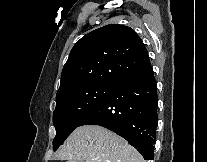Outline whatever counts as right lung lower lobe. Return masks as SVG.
Masks as SVG:
<instances>
[{"label":"right lung lower lobe","mask_w":207,"mask_h":162,"mask_svg":"<svg viewBox=\"0 0 207 162\" xmlns=\"http://www.w3.org/2000/svg\"><path fill=\"white\" fill-rule=\"evenodd\" d=\"M157 85L149 64L121 78L80 124L99 125L126 139L145 160H153Z\"/></svg>","instance_id":"right-lung-lower-lobe-1"}]
</instances>
